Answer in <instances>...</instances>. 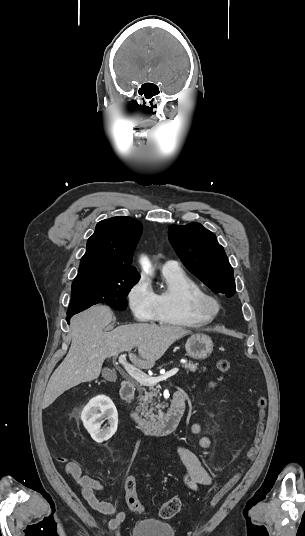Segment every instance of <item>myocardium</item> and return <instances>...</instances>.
Instances as JSON below:
<instances>
[{
  "instance_id": "1",
  "label": "myocardium",
  "mask_w": 305,
  "mask_h": 536,
  "mask_svg": "<svg viewBox=\"0 0 305 536\" xmlns=\"http://www.w3.org/2000/svg\"><path fill=\"white\" fill-rule=\"evenodd\" d=\"M190 310L206 323H213L222 312L223 305L219 297L210 292H201L189 299Z\"/></svg>"
}]
</instances>
